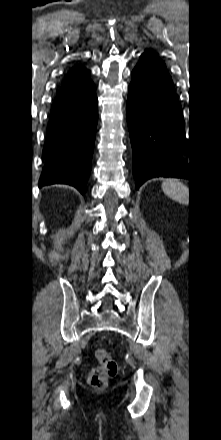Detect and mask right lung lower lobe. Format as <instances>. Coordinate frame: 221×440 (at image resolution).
<instances>
[{
    "label": "right lung lower lobe",
    "instance_id": "1",
    "mask_svg": "<svg viewBox=\"0 0 221 440\" xmlns=\"http://www.w3.org/2000/svg\"><path fill=\"white\" fill-rule=\"evenodd\" d=\"M97 103L96 88L89 78L61 86L51 108L40 187L68 184L85 193L95 142Z\"/></svg>",
    "mask_w": 221,
    "mask_h": 440
}]
</instances>
